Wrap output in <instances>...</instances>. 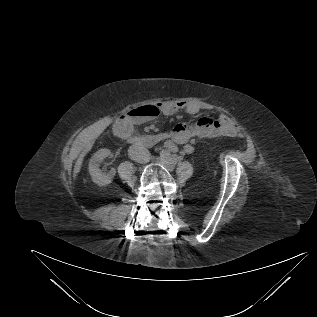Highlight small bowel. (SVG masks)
Masks as SVG:
<instances>
[{
	"label": "small bowel",
	"mask_w": 317,
	"mask_h": 317,
	"mask_svg": "<svg viewBox=\"0 0 317 317\" xmlns=\"http://www.w3.org/2000/svg\"><path fill=\"white\" fill-rule=\"evenodd\" d=\"M162 115L172 116L179 111H186L191 115L198 114L201 106L195 101H163L158 104ZM127 118V117H124ZM135 122L131 119H123L118 122L117 129L122 133L133 134ZM239 132L237 125L232 123L227 116H220L213 119L209 116L200 117L194 124H178L170 133V139L167 141V148L177 151V144H183L182 152L191 154L193 146L189 141L194 138H213L217 136H235Z\"/></svg>",
	"instance_id": "c3829d8e"
}]
</instances>
